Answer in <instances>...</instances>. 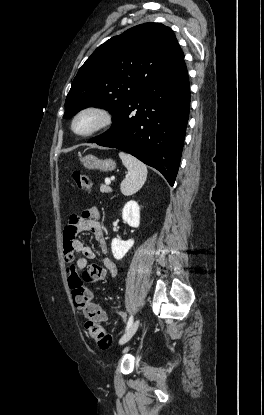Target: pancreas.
I'll list each match as a JSON object with an SVG mask.
<instances>
[{
    "instance_id": "1",
    "label": "pancreas",
    "mask_w": 264,
    "mask_h": 415,
    "mask_svg": "<svg viewBox=\"0 0 264 415\" xmlns=\"http://www.w3.org/2000/svg\"><path fill=\"white\" fill-rule=\"evenodd\" d=\"M100 191H101L102 193H109V192H111L112 190H111V188H110L109 186H107V185H105V184H101V186H100Z\"/></svg>"
}]
</instances>
